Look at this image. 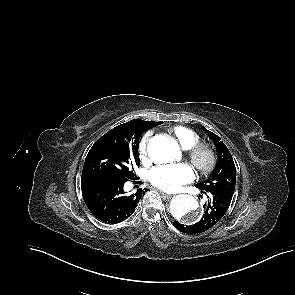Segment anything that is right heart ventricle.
I'll return each instance as SVG.
<instances>
[{
	"instance_id": "e07e8e85",
	"label": "right heart ventricle",
	"mask_w": 295,
	"mask_h": 295,
	"mask_svg": "<svg viewBox=\"0 0 295 295\" xmlns=\"http://www.w3.org/2000/svg\"><path fill=\"white\" fill-rule=\"evenodd\" d=\"M170 131L184 150H189L200 143V136L190 128L175 126Z\"/></svg>"
}]
</instances>
